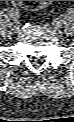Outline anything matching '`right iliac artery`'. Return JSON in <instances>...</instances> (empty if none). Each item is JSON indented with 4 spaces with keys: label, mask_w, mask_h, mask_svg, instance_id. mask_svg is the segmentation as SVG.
I'll list each match as a JSON object with an SVG mask.
<instances>
[{
    "label": "right iliac artery",
    "mask_w": 74,
    "mask_h": 122,
    "mask_svg": "<svg viewBox=\"0 0 74 122\" xmlns=\"http://www.w3.org/2000/svg\"><path fill=\"white\" fill-rule=\"evenodd\" d=\"M8 12L11 17L15 18V10L13 8L11 10H8Z\"/></svg>",
    "instance_id": "obj_1"
}]
</instances>
